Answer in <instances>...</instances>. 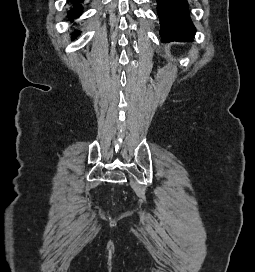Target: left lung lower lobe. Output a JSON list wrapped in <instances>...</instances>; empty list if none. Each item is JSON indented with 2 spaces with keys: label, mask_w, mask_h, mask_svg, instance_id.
<instances>
[{
  "label": "left lung lower lobe",
  "mask_w": 255,
  "mask_h": 272,
  "mask_svg": "<svg viewBox=\"0 0 255 272\" xmlns=\"http://www.w3.org/2000/svg\"><path fill=\"white\" fill-rule=\"evenodd\" d=\"M163 42L191 41L195 27L189 18L187 0H157Z\"/></svg>",
  "instance_id": "left-lung-lower-lobe-1"
}]
</instances>
